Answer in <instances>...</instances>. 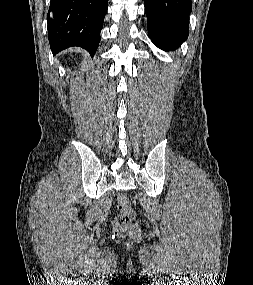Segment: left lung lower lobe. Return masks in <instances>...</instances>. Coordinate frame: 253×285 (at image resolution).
<instances>
[{"label": "left lung lower lobe", "mask_w": 253, "mask_h": 285, "mask_svg": "<svg viewBox=\"0 0 253 285\" xmlns=\"http://www.w3.org/2000/svg\"><path fill=\"white\" fill-rule=\"evenodd\" d=\"M147 28L159 48L177 49L189 34L191 0H144Z\"/></svg>", "instance_id": "obj_1"}]
</instances>
